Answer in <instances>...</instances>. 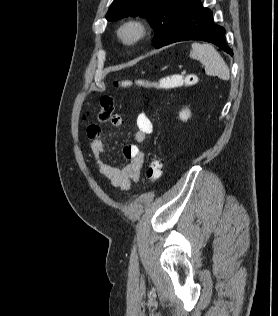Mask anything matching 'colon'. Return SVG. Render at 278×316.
I'll use <instances>...</instances> for the list:
<instances>
[{"label":"colon","mask_w":278,"mask_h":316,"mask_svg":"<svg viewBox=\"0 0 278 316\" xmlns=\"http://www.w3.org/2000/svg\"><path fill=\"white\" fill-rule=\"evenodd\" d=\"M197 82V77L194 74H188L185 76H172L163 81V83L157 84L143 80H137L134 83L128 80L115 81L114 86L116 88H129L133 84L143 88H154L168 85H182L192 86ZM114 109V99L110 95H105L100 98V109L89 115V119L94 123H105L110 120ZM95 126V125H92ZM164 163L161 159H153L147 169V179L151 183H156L160 180L163 173Z\"/></svg>","instance_id":"1"}]
</instances>
